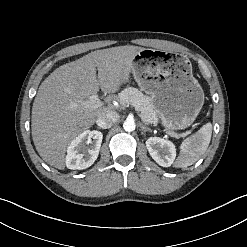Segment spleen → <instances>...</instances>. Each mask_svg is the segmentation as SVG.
I'll return each instance as SVG.
<instances>
[{"mask_svg":"<svg viewBox=\"0 0 247 247\" xmlns=\"http://www.w3.org/2000/svg\"><path fill=\"white\" fill-rule=\"evenodd\" d=\"M211 135L212 124L208 122L195 134L187 137L180 145V152L174 166L176 168H186L198 161L206 152Z\"/></svg>","mask_w":247,"mask_h":247,"instance_id":"spleen-1","label":"spleen"}]
</instances>
